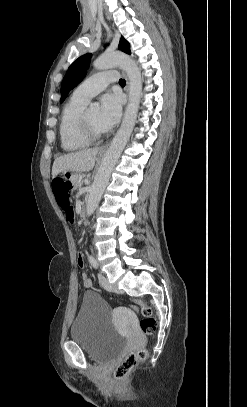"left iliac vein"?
I'll return each instance as SVG.
<instances>
[{
	"label": "left iliac vein",
	"mask_w": 247,
	"mask_h": 407,
	"mask_svg": "<svg viewBox=\"0 0 247 407\" xmlns=\"http://www.w3.org/2000/svg\"><path fill=\"white\" fill-rule=\"evenodd\" d=\"M98 277H99V281H100L102 287L105 290L110 291V292L117 291V288L109 282L108 278L105 275H103L102 273H99Z\"/></svg>",
	"instance_id": "obj_1"
}]
</instances>
